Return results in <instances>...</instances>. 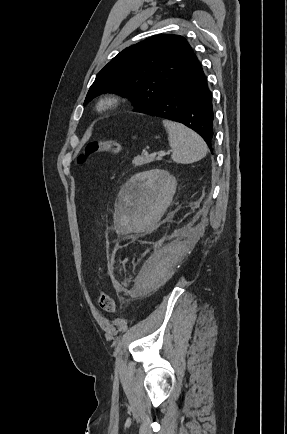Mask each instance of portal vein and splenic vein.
I'll return each mask as SVG.
<instances>
[{
	"instance_id": "18ae733b",
	"label": "portal vein and splenic vein",
	"mask_w": 287,
	"mask_h": 434,
	"mask_svg": "<svg viewBox=\"0 0 287 434\" xmlns=\"http://www.w3.org/2000/svg\"><path fill=\"white\" fill-rule=\"evenodd\" d=\"M157 155H158L159 157H163V156L166 155V153H165L164 151H159V152H157Z\"/></svg>"
}]
</instances>
